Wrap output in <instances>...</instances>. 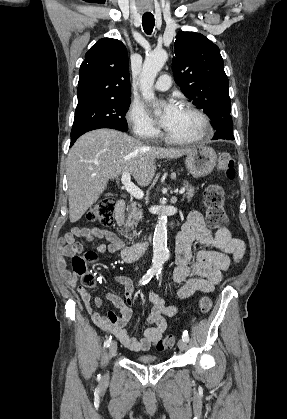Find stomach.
<instances>
[{
  "label": "stomach",
  "instance_id": "obj_1",
  "mask_svg": "<svg viewBox=\"0 0 287 419\" xmlns=\"http://www.w3.org/2000/svg\"><path fill=\"white\" fill-rule=\"evenodd\" d=\"M217 154L208 146H198L192 149L185 158L188 171L194 177H204L216 166Z\"/></svg>",
  "mask_w": 287,
  "mask_h": 419
}]
</instances>
